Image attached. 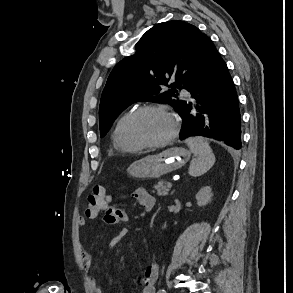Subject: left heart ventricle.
Masks as SVG:
<instances>
[{"label":"left heart ventricle","instance_id":"obj_1","mask_svg":"<svg viewBox=\"0 0 293 293\" xmlns=\"http://www.w3.org/2000/svg\"><path fill=\"white\" fill-rule=\"evenodd\" d=\"M134 129L140 139L147 142H157L171 133L172 122L163 112L149 111L137 118Z\"/></svg>","mask_w":293,"mask_h":293}]
</instances>
